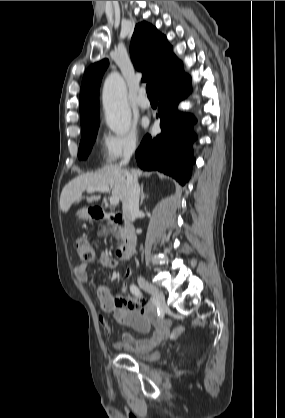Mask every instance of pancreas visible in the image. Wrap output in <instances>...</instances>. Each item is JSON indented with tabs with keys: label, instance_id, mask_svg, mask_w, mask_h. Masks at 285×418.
Masks as SVG:
<instances>
[{
	"label": "pancreas",
	"instance_id": "pancreas-1",
	"mask_svg": "<svg viewBox=\"0 0 285 418\" xmlns=\"http://www.w3.org/2000/svg\"><path fill=\"white\" fill-rule=\"evenodd\" d=\"M105 233H111V234L115 235L116 238H118V239L122 236L121 232L117 231L116 226L110 227L109 225H107V227L105 229Z\"/></svg>",
	"mask_w": 285,
	"mask_h": 418
}]
</instances>
